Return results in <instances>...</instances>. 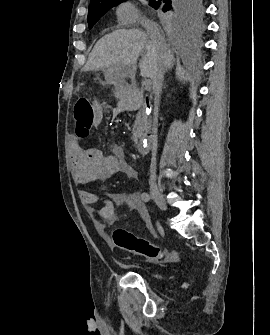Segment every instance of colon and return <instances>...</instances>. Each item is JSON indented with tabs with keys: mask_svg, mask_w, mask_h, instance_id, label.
I'll return each mask as SVG.
<instances>
[{
	"mask_svg": "<svg viewBox=\"0 0 270 335\" xmlns=\"http://www.w3.org/2000/svg\"><path fill=\"white\" fill-rule=\"evenodd\" d=\"M79 110L74 111L75 133L78 136L88 137L93 123V107L87 100H79L76 103ZM115 245L122 251L134 253L146 258L161 261L170 259L176 261L175 255L160 246L151 243L149 240L141 238L127 229H115L112 234Z\"/></svg>",
	"mask_w": 270,
	"mask_h": 335,
	"instance_id": "5ec220e1",
	"label": "colon"
}]
</instances>
